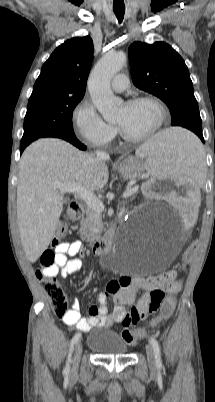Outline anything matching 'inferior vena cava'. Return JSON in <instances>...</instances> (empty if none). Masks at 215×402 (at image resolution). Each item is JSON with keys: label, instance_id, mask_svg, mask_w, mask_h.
I'll use <instances>...</instances> for the list:
<instances>
[{"label": "inferior vena cava", "instance_id": "obj_1", "mask_svg": "<svg viewBox=\"0 0 215 402\" xmlns=\"http://www.w3.org/2000/svg\"><path fill=\"white\" fill-rule=\"evenodd\" d=\"M96 156L100 160H108L109 159V154L106 152H102V151H96Z\"/></svg>", "mask_w": 215, "mask_h": 402}]
</instances>
